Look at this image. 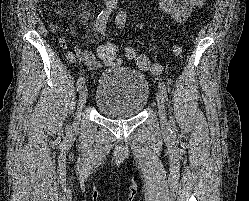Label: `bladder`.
Wrapping results in <instances>:
<instances>
[{
    "label": "bladder",
    "instance_id": "1",
    "mask_svg": "<svg viewBox=\"0 0 249 201\" xmlns=\"http://www.w3.org/2000/svg\"><path fill=\"white\" fill-rule=\"evenodd\" d=\"M149 96L150 84L144 73L109 67L97 81L94 105L105 117L126 119L139 115L147 106Z\"/></svg>",
    "mask_w": 249,
    "mask_h": 201
}]
</instances>
